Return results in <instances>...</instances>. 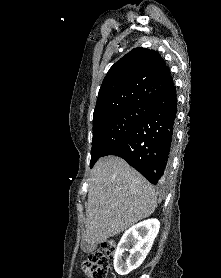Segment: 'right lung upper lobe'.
<instances>
[{
    "instance_id": "obj_1",
    "label": "right lung upper lobe",
    "mask_w": 221,
    "mask_h": 278,
    "mask_svg": "<svg viewBox=\"0 0 221 278\" xmlns=\"http://www.w3.org/2000/svg\"><path fill=\"white\" fill-rule=\"evenodd\" d=\"M162 57L153 50L135 48L116 62L99 90L94 116L152 95L173 85Z\"/></svg>"
}]
</instances>
